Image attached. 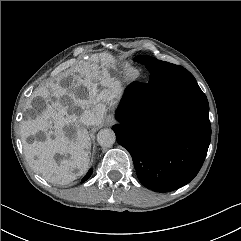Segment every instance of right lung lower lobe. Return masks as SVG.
Returning a JSON list of instances; mask_svg holds the SVG:
<instances>
[{
    "instance_id": "1",
    "label": "right lung lower lobe",
    "mask_w": 241,
    "mask_h": 241,
    "mask_svg": "<svg viewBox=\"0 0 241 241\" xmlns=\"http://www.w3.org/2000/svg\"><path fill=\"white\" fill-rule=\"evenodd\" d=\"M91 174H92V169L89 170V172L87 173V175L84 177L82 181L84 182L85 180H87L91 176Z\"/></svg>"
}]
</instances>
